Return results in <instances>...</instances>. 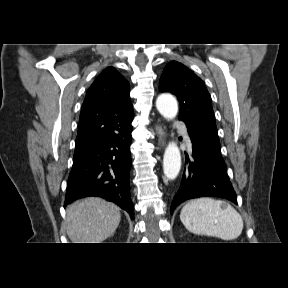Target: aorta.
<instances>
[{
  "label": "aorta",
  "instance_id": "obj_1",
  "mask_svg": "<svg viewBox=\"0 0 288 288\" xmlns=\"http://www.w3.org/2000/svg\"><path fill=\"white\" fill-rule=\"evenodd\" d=\"M156 107L160 114L168 119H174L178 112L176 99L170 94H161L156 100ZM181 169V153L176 143L170 142L163 157V171L167 179H175Z\"/></svg>",
  "mask_w": 288,
  "mask_h": 288
}]
</instances>
